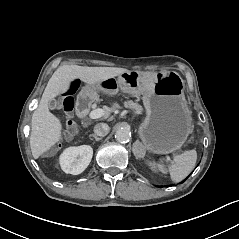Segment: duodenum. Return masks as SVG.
<instances>
[{"mask_svg":"<svg viewBox=\"0 0 239 239\" xmlns=\"http://www.w3.org/2000/svg\"><path fill=\"white\" fill-rule=\"evenodd\" d=\"M90 108H91L90 98L88 96L80 97L76 105L78 115L81 118H86L90 112Z\"/></svg>","mask_w":239,"mask_h":239,"instance_id":"duodenum-1","label":"duodenum"}]
</instances>
